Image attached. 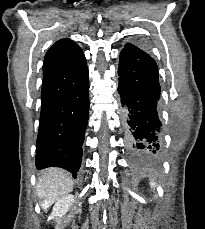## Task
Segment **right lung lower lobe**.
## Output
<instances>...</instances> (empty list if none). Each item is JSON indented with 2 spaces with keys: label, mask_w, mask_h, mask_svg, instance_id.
Listing matches in <instances>:
<instances>
[{
  "label": "right lung lower lobe",
  "mask_w": 205,
  "mask_h": 229,
  "mask_svg": "<svg viewBox=\"0 0 205 229\" xmlns=\"http://www.w3.org/2000/svg\"><path fill=\"white\" fill-rule=\"evenodd\" d=\"M51 47L43 63L36 167H61L76 178L88 123L89 79L86 60L70 68Z\"/></svg>",
  "instance_id": "98d812e1"
}]
</instances>
